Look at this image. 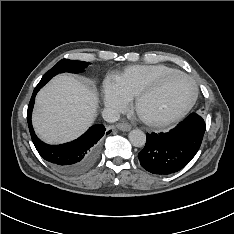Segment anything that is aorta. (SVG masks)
<instances>
[{"instance_id": "obj_1", "label": "aorta", "mask_w": 234, "mask_h": 234, "mask_svg": "<svg viewBox=\"0 0 234 234\" xmlns=\"http://www.w3.org/2000/svg\"><path fill=\"white\" fill-rule=\"evenodd\" d=\"M129 141L135 147H142L146 143V135L140 129H133L129 133Z\"/></svg>"}]
</instances>
